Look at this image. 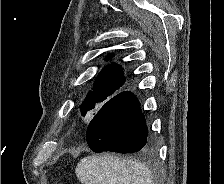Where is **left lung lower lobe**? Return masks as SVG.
Wrapping results in <instances>:
<instances>
[{"instance_id": "left-lung-lower-lobe-1", "label": "left lung lower lobe", "mask_w": 224, "mask_h": 184, "mask_svg": "<svg viewBox=\"0 0 224 184\" xmlns=\"http://www.w3.org/2000/svg\"><path fill=\"white\" fill-rule=\"evenodd\" d=\"M147 136L138 99L124 91L109 99L92 118L86 140L94 152H151L156 145Z\"/></svg>"}]
</instances>
